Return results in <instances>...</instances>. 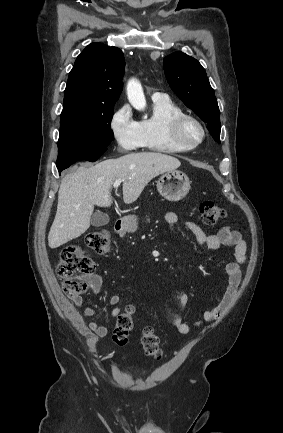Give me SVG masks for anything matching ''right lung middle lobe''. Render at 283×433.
I'll return each mask as SVG.
<instances>
[{
	"mask_svg": "<svg viewBox=\"0 0 283 433\" xmlns=\"http://www.w3.org/2000/svg\"><path fill=\"white\" fill-rule=\"evenodd\" d=\"M112 104H84L62 110L58 149L106 150L113 139Z\"/></svg>",
	"mask_w": 283,
	"mask_h": 433,
	"instance_id": "obj_1",
	"label": "right lung middle lobe"
}]
</instances>
